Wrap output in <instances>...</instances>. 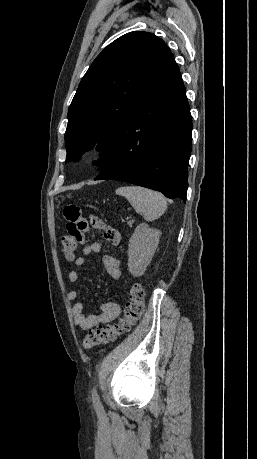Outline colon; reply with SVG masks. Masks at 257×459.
<instances>
[{
	"mask_svg": "<svg viewBox=\"0 0 257 459\" xmlns=\"http://www.w3.org/2000/svg\"><path fill=\"white\" fill-rule=\"evenodd\" d=\"M67 227H69L67 225ZM62 253L68 260H72L79 244L72 241L71 236L62 238ZM144 288L135 284L131 287L128 293V302L125 307L124 315L113 325L100 326L90 330L83 339V346L86 349L93 348L97 345L106 344L116 340L123 333L131 330V328L142 318L145 304Z\"/></svg>",
	"mask_w": 257,
	"mask_h": 459,
	"instance_id": "obj_1",
	"label": "colon"
}]
</instances>
